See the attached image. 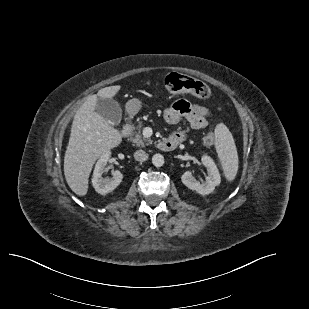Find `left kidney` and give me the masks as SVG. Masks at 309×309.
I'll list each match as a JSON object with an SVG mask.
<instances>
[{
  "mask_svg": "<svg viewBox=\"0 0 309 309\" xmlns=\"http://www.w3.org/2000/svg\"><path fill=\"white\" fill-rule=\"evenodd\" d=\"M202 164L207 168L208 175L203 183L198 182L193 177L191 171H186L182 177V183L191 190H195L201 195H207L214 191L215 187L220 184L221 177L218 168L211 157L202 156Z\"/></svg>",
  "mask_w": 309,
  "mask_h": 309,
  "instance_id": "obj_1",
  "label": "left kidney"
}]
</instances>
